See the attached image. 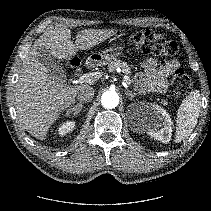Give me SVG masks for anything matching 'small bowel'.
<instances>
[{
    "mask_svg": "<svg viewBox=\"0 0 211 211\" xmlns=\"http://www.w3.org/2000/svg\"><path fill=\"white\" fill-rule=\"evenodd\" d=\"M177 67L175 60L161 62L156 58H148L142 63L144 73L136 74L135 80L145 91L164 93L168 87V77Z\"/></svg>",
    "mask_w": 211,
    "mask_h": 211,
    "instance_id": "obj_1",
    "label": "small bowel"
}]
</instances>
